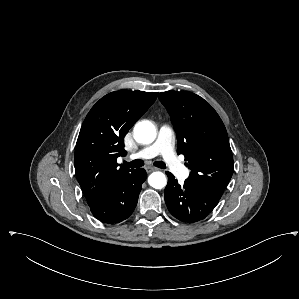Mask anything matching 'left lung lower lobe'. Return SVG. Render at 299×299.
Here are the masks:
<instances>
[{
	"mask_svg": "<svg viewBox=\"0 0 299 299\" xmlns=\"http://www.w3.org/2000/svg\"><path fill=\"white\" fill-rule=\"evenodd\" d=\"M168 175L165 202L170 213L182 222L193 223L204 219L218 204L220 198L185 180L179 185L175 177Z\"/></svg>",
	"mask_w": 299,
	"mask_h": 299,
	"instance_id": "left-lung-lower-lobe-1",
	"label": "left lung lower lobe"
}]
</instances>
